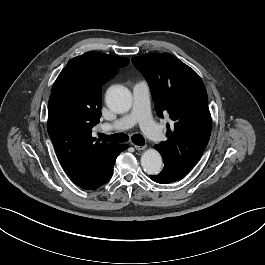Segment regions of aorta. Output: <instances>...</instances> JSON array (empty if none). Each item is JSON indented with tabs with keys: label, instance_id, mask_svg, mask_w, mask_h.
Returning a JSON list of instances; mask_svg holds the SVG:
<instances>
[{
	"label": "aorta",
	"instance_id": "aorta-1",
	"mask_svg": "<svg viewBox=\"0 0 265 265\" xmlns=\"http://www.w3.org/2000/svg\"><path fill=\"white\" fill-rule=\"evenodd\" d=\"M106 104L115 113H126L132 106L130 91L122 85L111 86L105 96ZM143 170L149 175H157L162 170V157L155 149L146 150L141 156Z\"/></svg>",
	"mask_w": 265,
	"mask_h": 265
}]
</instances>
